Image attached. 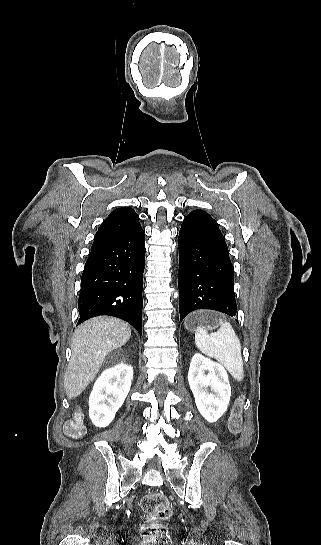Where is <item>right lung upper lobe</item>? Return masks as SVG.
Masks as SVG:
<instances>
[{
	"mask_svg": "<svg viewBox=\"0 0 321 545\" xmlns=\"http://www.w3.org/2000/svg\"><path fill=\"white\" fill-rule=\"evenodd\" d=\"M139 216L128 207L112 211L99 227L94 242L124 233L138 226Z\"/></svg>",
	"mask_w": 321,
	"mask_h": 545,
	"instance_id": "obj_1",
	"label": "right lung upper lobe"
}]
</instances>
